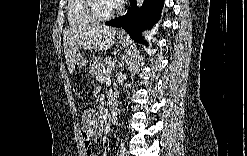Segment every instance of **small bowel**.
Masks as SVG:
<instances>
[{
    "label": "small bowel",
    "mask_w": 247,
    "mask_h": 156,
    "mask_svg": "<svg viewBox=\"0 0 247 156\" xmlns=\"http://www.w3.org/2000/svg\"><path fill=\"white\" fill-rule=\"evenodd\" d=\"M84 142H85V145H86V147H85V154L87 156H93L94 155V152L89 147L90 138L89 137L88 138H84Z\"/></svg>",
    "instance_id": "1"
}]
</instances>
